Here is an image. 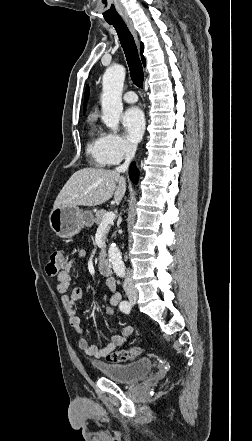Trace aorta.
I'll return each mask as SVG.
<instances>
[{
	"instance_id": "aorta-1",
	"label": "aorta",
	"mask_w": 252,
	"mask_h": 441,
	"mask_svg": "<svg viewBox=\"0 0 252 441\" xmlns=\"http://www.w3.org/2000/svg\"><path fill=\"white\" fill-rule=\"evenodd\" d=\"M125 74V68L121 65H116L107 68L102 79V120L104 124L113 131L118 130L120 117L123 111L122 91ZM108 256L114 272L119 276L124 275L125 265L122 261L120 250L116 244H111Z\"/></svg>"
}]
</instances>
